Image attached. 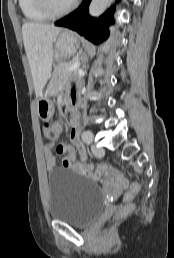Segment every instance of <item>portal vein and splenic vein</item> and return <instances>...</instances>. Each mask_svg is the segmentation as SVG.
<instances>
[{"instance_id":"1","label":"portal vein and splenic vein","mask_w":174,"mask_h":258,"mask_svg":"<svg viewBox=\"0 0 174 258\" xmlns=\"http://www.w3.org/2000/svg\"><path fill=\"white\" fill-rule=\"evenodd\" d=\"M79 66H80V63H79V62H76V63H74L73 65H71V66L68 68V71H74V70H76Z\"/></svg>"}]
</instances>
